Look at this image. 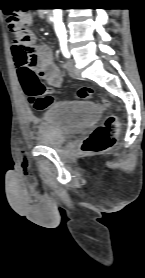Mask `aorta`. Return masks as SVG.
<instances>
[{"mask_svg":"<svg viewBox=\"0 0 145 278\" xmlns=\"http://www.w3.org/2000/svg\"><path fill=\"white\" fill-rule=\"evenodd\" d=\"M54 27L57 36H63L65 34L64 24L62 22V9H54Z\"/></svg>","mask_w":145,"mask_h":278,"instance_id":"aorta-1","label":"aorta"}]
</instances>
